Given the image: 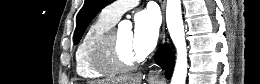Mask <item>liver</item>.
<instances>
[{
  "label": "liver",
  "instance_id": "6515ba94",
  "mask_svg": "<svg viewBox=\"0 0 260 84\" xmlns=\"http://www.w3.org/2000/svg\"><path fill=\"white\" fill-rule=\"evenodd\" d=\"M141 79H142L141 74L125 75L115 79H107V80L90 82L89 84H140Z\"/></svg>",
  "mask_w": 260,
  "mask_h": 84
}]
</instances>
